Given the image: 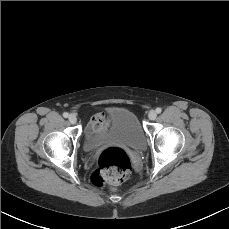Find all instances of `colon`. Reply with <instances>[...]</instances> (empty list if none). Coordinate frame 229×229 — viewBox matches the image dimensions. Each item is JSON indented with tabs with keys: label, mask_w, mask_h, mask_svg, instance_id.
I'll use <instances>...</instances> for the list:
<instances>
[{
	"label": "colon",
	"mask_w": 229,
	"mask_h": 229,
	"mask_svg": "<svg viewBox=\"0 0 229 229\" xmlns=\"http://www.w3.org/2000/svg\"><path fill=\"white\" fill-rule=\"evenodd\" d=\"M131 170V163L124 150L109 147L102 151L98 166L92 174V182L96 186H116L124 182Z\"/></svg>",
	"instance_id": "1"
}]
</instances>
